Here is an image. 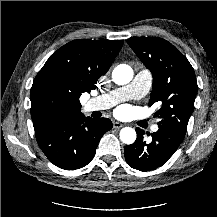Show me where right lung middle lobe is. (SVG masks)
<instances>
[{
    "instance_id": "obj_1",
    "label": "right lung middle lobe",
    "mask_w": 217,
    "mask_h": 217,
    "mask_svg": "<svg viewBox=\"0 0 217 217\" xmlns=\"http://www.w3.org/2000/svg\"><path fill=\"white\" fill-rule=\"evenodd\" d=\"M74 105L57 82L47 81L31 97L33 123L43 127L68 120Z\"/></svg>"
}]
</instances>
